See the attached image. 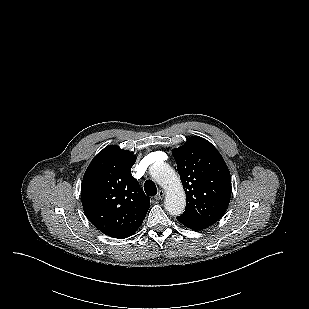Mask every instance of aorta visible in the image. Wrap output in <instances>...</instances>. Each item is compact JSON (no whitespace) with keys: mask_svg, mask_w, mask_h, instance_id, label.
<instances>
[{"mask_svg":"<svg viewBox=\"0 0 309 309\" xmlns=\"http://www.w3.org/2000/svg\"><path fill=\"white\" fill-rule=\"evenodd\" d=\"M152 178L166 190L165 209L173 216L184 212L186 205L185 192L180 178L164 162H156L150 167Z\"/></svg>","mask_w":309,"mask_h":309,"instance_id":"762f6f07","label":"aorta"}]
</instances>
